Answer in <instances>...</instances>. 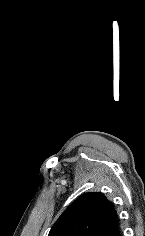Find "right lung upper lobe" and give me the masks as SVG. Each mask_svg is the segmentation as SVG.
Here are the masks:
<instances>
[{"label": "right lung upper lobe", "mask_w": 145, "mask_h": 236, "mask_svg": "<svg viewBox=\"0 0 145 236\" xmlns=\"http://www.w3.org/2000/svg\"><path fill=\"white\" fill-rule=\"evenodd\" d=\"M116 224L112 203L101 193H85L61 214L48 236H99Z\"/></svg>", "instance_id": "1"}]
</instances>
